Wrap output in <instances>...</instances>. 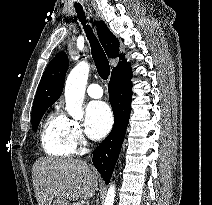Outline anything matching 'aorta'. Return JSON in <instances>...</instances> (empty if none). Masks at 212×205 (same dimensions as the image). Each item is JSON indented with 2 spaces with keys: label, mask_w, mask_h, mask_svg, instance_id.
Instances as JSON below:
<instances>
[{
  "label": "aorta",
  "mask_w": 212,
  "mask_h": 205,
  "mask_svg": "<svg viewBox=\"0 0 212 205\" xmlns=\"http://www.w3.org/2000/svg\"><path fill=\"white\" fill-rule=\"evenodd\" d=\"M89 71V64L81 61L71 70L65 83L66 110L75 118L82 117V103ZM115 195V185L110 184L103 205H114Z\"/></svg>",
  "instance_id": "1"
}]
</instances>
